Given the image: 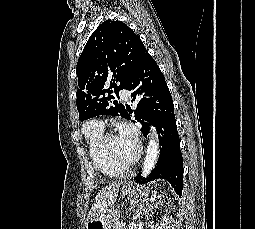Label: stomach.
<instances>
[{"label":"stomach","instance_id":"stomach-1","mask_svg":"<svg viewBox=\"0 0 255 229\" xmlns=\"http://www.w3.org/2000/svg\"><path fill=\"white\" fill-rule=\"evenodd\" d=\"M121 193L125 196H133L136 194V189L131 184L125 183L121 189ZM119 217V212L110 207L97 218L89 220L86 223L85 229H112Z\"/></svg>","mask_w":255,"mask_h":229}]
</instances>
